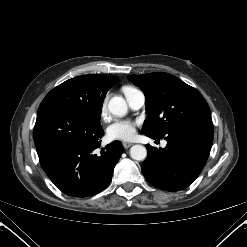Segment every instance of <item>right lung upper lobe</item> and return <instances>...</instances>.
<instances>
[{
    "instance_id": "obj_1",
    "label": "right lung upper lobe",
    "mask_w": 247,
    "mask_h": 247,
    "mask_svg": "<svg viewBox=\"0 0 247 247\" xmlns=\"http://www.w3.org/2000/svg\"><path fill=\"white\" fill-rule=\"evenodd\" d=\"M95 77L102 83L105 89L108 91L110 87H112L118 80L115 76L109 75H101V74H93Z\"/></svg>"
}]
</instances>
